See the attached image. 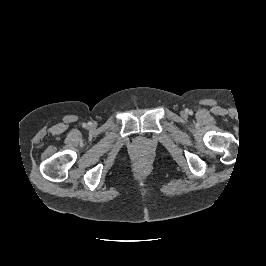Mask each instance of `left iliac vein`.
<instances>
[{
    "mask_svg": "<svg viewBox=\"0 0 266 266\" xmlns=\"http://www.w3.org/2000/svg\"><path fill=\"white\" fill-rule=\"evenodd\" d=\"M182 116H183V117H185V116H186V113H185V112H183V113H182Z\"/></svg>",
    "mask_w": 266,
    "mask_h": 266,
    "instance_id": "left-iliac-vein-1",
    "label": "left iliac vein"
}]
</instances>
